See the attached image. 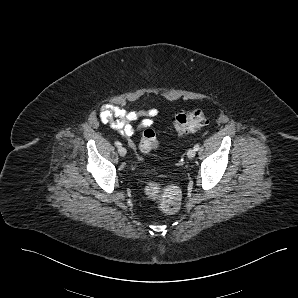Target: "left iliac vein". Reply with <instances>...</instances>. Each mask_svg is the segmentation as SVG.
<instances>
[{"instance_id":"obj_1","label":"left iliac vein","mask_w":298,"mask_h":298,"mask_svg":"<svg viewBox=\"0 0 298 298\" xmlns=\"http://www.w3.org/2000/svg\"><path fill=\"white\" fill-rule=\"evenodd\" d=\"M195 155H196V151H195V149H189L188 150V152H187V157L189 158V159H193L194 157H195Z\"/></svg>"}]
</instances>
